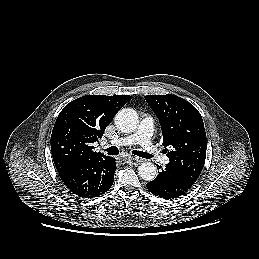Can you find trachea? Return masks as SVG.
I'll list each match as a JSON object with an SVG mask.
<instances>
[{"mask_svg":"<svg viewBox=\"0 0 259 259\" xmlns=\"http://www.w3.org/2000/svg\"><path fill=\"white\" fill-rule=\"evenodd\" d=\"M106 151H107L108 155H118L119 154V149L117 147H115V146L107 148ZM132 153L134 155H137V156L145 158V159H151L152 158L151 155H149V154H147V153H145L143 151L134 150V151H132Z\"/></svg>","mask_w":259,"mask_h":259,"instance_id":"3493384b","label":"trachea"}]
</instances>
